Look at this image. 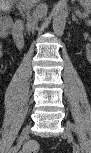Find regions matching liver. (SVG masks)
<instances>
[{
  "label": "liver",
  "mask_w": 91,
  "mask_h": 153,
  "mask_svg": "<svg viewBox=\"0 0 91 153\" xmlns=\"http://www.w3.org/2000/svg\"><path fill=\"white\" fill-rule=\"evenodd\" d=\"M36 0H20V7L29 9L32 5L35 4ZM13 3V0H1V5H4L5 9H8Z\"/></svg>",
  "instance_id": "obj_1"
}]
</instances>
